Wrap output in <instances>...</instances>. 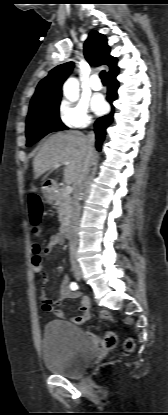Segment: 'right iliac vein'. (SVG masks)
<instances>
[{
  "mask_svg": "<svg viewBox=\"0 0 168 415\" xmlns=\"http://www.w3.org/2000/svg\"><path fill=\"white\" fill-rule=\"evenodd\" d=\"M75 277H76L78 280L82 279V273H81L80 271H76V272H75Z\"/></svg>",
  "mask_w": 168,
  "mask_h": 415,
  "instance_id": "1",
  "label": "right iliac vein"
}]
</instances>
